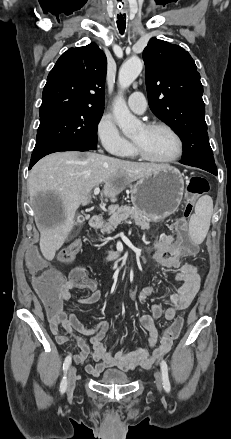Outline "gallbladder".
<instances>
[{"label":"gallbladder","mask_w":231,"mask_h":439,"mask_svg":"<svg viewBox=\"0 0 231 439\" xmlns=\"http://www.w3.org/2000/svg\"><path fill=\"white\" fill-rule=\"evenodd\" d=\"M84 221V217L82 216V215H79L78 217H77V224H80V223H82Z\"/></svg>","instance_id":"gallbladder-1"}]
</instances>
